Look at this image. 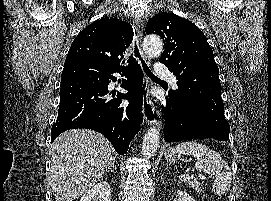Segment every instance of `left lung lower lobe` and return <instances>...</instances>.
<instances>
[{
	"mask_svg": "<svg viewBox=\"0 0 271 201\" xmlns=\"http://www.w3.org/2000/svg\"><path fill=\"white\" fill-rule=\"evenodd\" d=\"M166 103V107L162 106L165 118L164 139L166 142L193 138H213L200 127L196 114L176 100L170 92L166 97ZM219 141L226 140L220 139Z\"/></svg>",
	"mask_w": 271,
	"mask_h": 201,
	"instance_id": "obj_1",
	"label": "left lung lower lobe"
}]
</instances>
